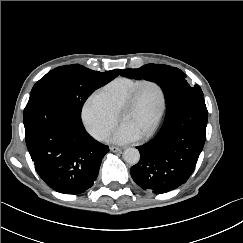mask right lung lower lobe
<instances>
[{"label":"right lung lower lobe","mask_w":243,"mask_h":243,"mask_svg":"<svg viewBox=\"0 0 243 243\" xmlns=\"http://www.w3.org/2000/svg\"><path fill=\"white\" fill-rule=\"evenodd\" d=\"M23 119L35 170L49 187L79 194L93 185L109 147L86 132L81 116L60 101L31 97Z\"/></svg>","instance_id":"98d812e1"}]
</instances>
